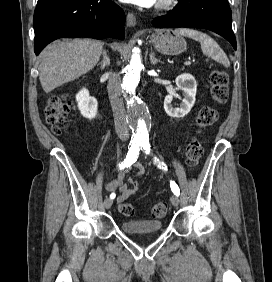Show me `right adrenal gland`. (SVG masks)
I'll return each instance as SVG.
<instances>
[{"instance_id":"2a0ac1e0","label":"right adrenal gland","mask_w":272,"mask_h":282,"mask_svg":"<svg viewBox=\"0 0 272 282\" xmlns=\"http://www.w3.org/2000/svg\"><path fill=\"white\" fill-rule=\"evenodd\" d=\"M102 55H103V60L99 62L98 65H101V69H104L110 64V58L105 49L102 50Z\"/></svg>"}]
</instances>
